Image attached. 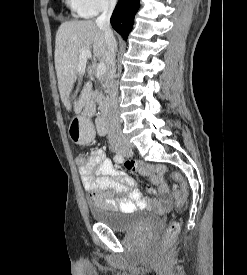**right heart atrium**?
<instances>
[{
	"instance_id": "1",
	"label": "right heart atrium",
	"mask_w": 247,
	"mask_h": 275,
	"mask_svg": "<svg viewBox=\"0 0 247 275\" xmlns=\"http://www.w3.org/2000/svg\"><path fill=\"white\" fill-rule=\"evenodd\" d=\"M117 0H77L78 11L84 17L95 16L102 11L113 9Z\"/></svg>"
}]
</instances>
